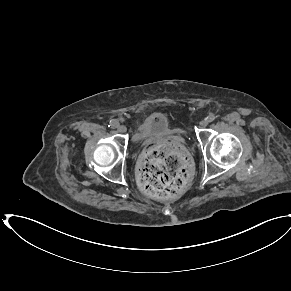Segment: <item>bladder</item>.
I'll return each mask as SVG.
<instances>
[{
	"label": "bladder",
	"instance_id": "bladder-1",
	"mask_svg": "<svg viewBox=\"0 0 291 291\" xmlns=\"http://www.w3.org/2000/svg\"><path fill=\"white\" fill-rule=\"evenodd\" d=\"M171 130L176 131L175 134H179V131L171 126L167 116L164 114H158L147 118L139 124L136 128V133L145 138H149L165 135Z\"/></svg>",
	"mask_w": 291,
	"mask_h": 291
}]
</instances>
